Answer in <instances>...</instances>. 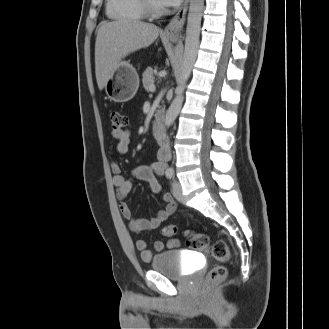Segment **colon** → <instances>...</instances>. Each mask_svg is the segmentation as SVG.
<instances>
[{
  "instance_id": "obj_1",
  "label": "colon",
  "mask_w": 329,
  "mask_h": 329,
  "mask_svg": "<svg viewBox=\"0 0 329 329\" xmlns=\"http://www.w3.org/2000/svg\"><path fill=\"white\" fill-rule=\"evenodd\" d=\"M110 120L112 133L116 136L121 135L127 126V117L118 111H113L110 114ZM161 233L165 237H173L177 234V227L173 224L164 225L161 229ZM185 236L186 244L189 248L210 254L221 263L229 261L230 251L223 240H217L211 244L208 235L197 231H187ZM226 276L227 268L219 264L209 271L206 282L208 284L219 283L222 282Z\"/></svg>"
}]
</instances>
